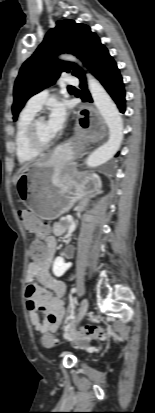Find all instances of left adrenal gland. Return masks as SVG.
<instances>
[{
	"label": "left adrenal gland",
	"mask_w": 155,
	"mask_h": 413,
	"mask_svg": "<svg viewBox=\"0 0 155 413\" xmlns=\"http://www.w3.org/2000/svg\"><path fill=\"white\" fill-rule=\"evenodd\" d=\"M85 206H86V204L81 203L79 206H77L76 209H78V210L80 211V210H82Z\"/></svg>",
	"instance_id": "a2214340"
}]
</instances>
